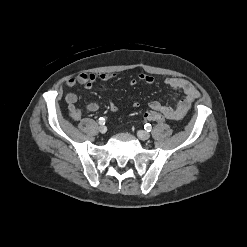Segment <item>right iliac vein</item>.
Segmentation results:
<instances>
[{"instance_id": "obj_1", "label": "right iliac vein", "mask_w": 247, "mask_h": 247, "mask_svg": "<svg viewBox=\"0 0 247 247\" xmlns=\"http://www.w3.org/2000/svg\"><path fill=\"white\" fill-rule=\"evenodd\" d=\"M99 131H100V133L104 134V133H106L107 128L105 126H100Z\"/></svg>"}]
</instances>
